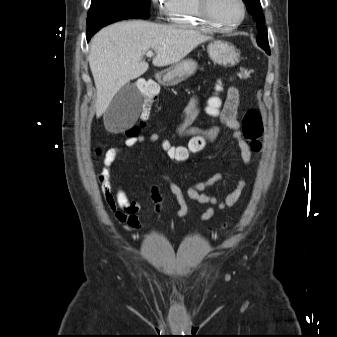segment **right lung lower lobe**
<instances>
[{
    "label": "right lung lower lobe",
    "instance_id": "right-lung-lower-lobe-1",
    "mask_svg": "<svg viewBox=\"0 0 337 337\" xmlns=\"http://www.w3.org/2000/svg\"><path fill=\"white\" fill-rule=\"evenodd\" d=\"M124 19H129V17H124V16H118V17H107V18H102L99 19L95 22H92L88 24L87 31H86V38L87 41L90 40V38L102 27L109 25L113 22L124 20Z\"/></svg>",
    "mask_w": 337,
    "mask_h": 337
}]
</instances>
